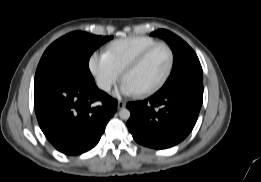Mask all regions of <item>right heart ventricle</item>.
<instances>
[{
  "mask_svg": "<svg viewBox=\"0 0 261 182\" xmlns=\"http://www.w3.org/2000/svg\"><path fill=\"white\" fill-rule=\"evenodd\" d=\"M156 43H158L156 40L149 37L131 36L107 45L105 54L112 64L122 72L140 53Z\"/></svg>",
  "mask_w": 261,
  "mask_h": 182,
  "instance_id": "1",
  "label": "right heart ventricle"
}]
</instances>
